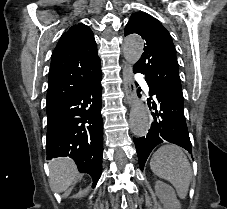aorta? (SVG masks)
Wrapping results in <instances>:
<instances>
[{
  "mask_svg": "<svg viewBox=\"0 0 227 209\" xmlns=\"http://www.w3.org/2000/svg\"><path fill=\"white\" fill-rule=\"evenodd\" d=\"M144 42L137 35H130L124 39L123 50L126 60L134 65L143 53ZM149 115L142 102L137 101L134 104L130 115V128L136 137L145 136L149 129Z\"/></svg>",
  "mask_w": 227,
  "mask_h": 209,
  "instance_id": "762f6f07",
  "label": "aorta"
}]
</instances>
